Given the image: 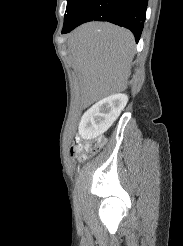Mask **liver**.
Instances as JSON below:
<instances>
[{"instance_id": "obj_1", "label": "liver", "mask_w": 183, "mask_h": 246, "mask_svg": "<svg viewBox=\"0 0 183 246\" xmlns=\"http://www.w3.org/2000/svg\"><path fill=\"white\" fill-rule=\"evenodd\" d=\"M134 36L107 22H90L68 36V52L85 102L124 90L131 74Z\"/></svg>"}]
</instances>
